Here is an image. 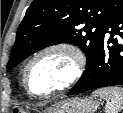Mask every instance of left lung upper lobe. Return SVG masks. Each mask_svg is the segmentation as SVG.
<instances>
[{"label":"left lung upper lobe","mask_w":123,"mask_h":113,"mask_svg":"<svg viewBox=\"0 0 123 113\" xmlns=\"http://www.w3.org/2000/svg\"><path fill=\"white\" fill-rule=\"evenodd\" d=\"M111 0H34L20 23L7 69L50 45H77L86 69L103 38ZM85 69V70H86Z\"/></svg>","instance_id":"left-lung-upper-lobe-1"}]
</instances>
